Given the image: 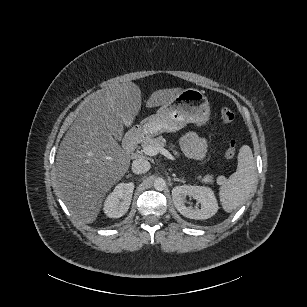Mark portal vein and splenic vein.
I'll return each mask as SVG.
<instances>
[{
	"instance_id": "18ae733b",
	"label": "portal vein and splenic vein",
	"mask_w": 307,
	"mask_h": 307,
	"mask_svg": "<svg viewBox=\"0 0 307 307\" xmlns=\"http://www.w3.org/2000/svg\"><path fill=\"white\" fill-rule=\"evenodd\" d=\"M144 151L146 154L150 155V156H155V155H158V154H161L163 156H166L170 159H174L173 156H171V154L163 147H159V146H156V145H149L147 147L144 148Z\"/></svg>"
}]
</instances>
